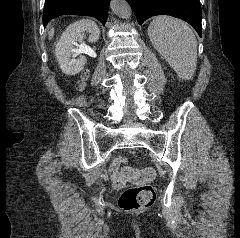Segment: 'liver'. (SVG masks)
<instances>
[{
	"instance_id": "obj_1",
	"label": "liver",
	"mask_w": 240,
	"mask_h": 238,
	"mask_svg": "<svg viewBox=\"0 0 240 238\" xmlns=\"http://www.w3.org/2000/svg\"><path fill=\"white\" fill-rule=\"evenodd\" d=\"M48 34H49V39L51 40L53 38V35H54V29H50Z\"/></svg>"
}]
</instances>
